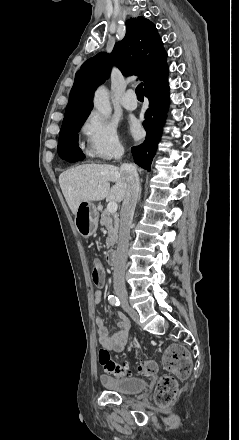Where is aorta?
Instances as JSON below:
<instances>
[{"mask_svg": "<svg viewBox=\"0 0 239 440\" xmlns=\"http://www.w3.org/2000/svg\"><path fill=\"white\" fill-rule=\"evenodd\" d=\"M94 108H96L102 116H108V114H111L109 94L104 86H101V88H98L95 92Z\"/></svg>", "mask_w": 239, "mask_h": 440, "instance_id": "obj_1", "label": "aorta"}]
</instances>
